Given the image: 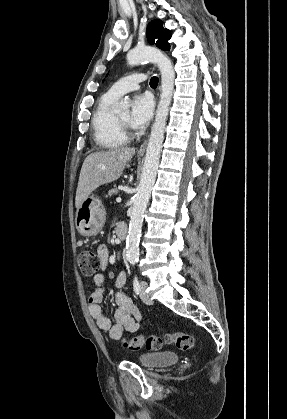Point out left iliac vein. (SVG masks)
<instances>
[{
    "instance_id": "left-iliac-vein-1",
    "label": "left iliac vein",
    "mask_w": 287,
    "mask_h": 419,
    "mask_svg": "<svg viewBox=\"0 0 287 419\" xmlns=\"http://www.w3.org/2000/svg\"><path fill=\"white\" fill-rule=\"evenodd\" d=\"M141 287V291H140V298L141 300L147 304V305H151L153 302L150 299L149 295L146 293V288H147V282L142 281L140 284Z\"/></svg>"
}]
</instances>
